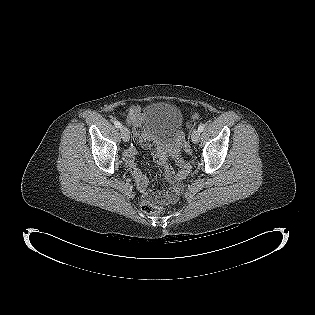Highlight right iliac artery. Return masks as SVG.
Returning a JSON list of instances; mask_svg holds the SVG:
<instances>
[{
  "instance_id": "82829eb1",
  "label": "right iliac artery",
  "mask_w": 315,
  "mask_h": 315,
  "mask_svg": "<svg viewBox=\"0 0 315 315\" xmlns=\"http://www.w3.org/2000/svg\"><path fill=\"white\" fill-rule=\"evenodd\" d=\"M114 125L117 127V128H121V123L117 120L114 121Z\"/></svg>"
}]
</instances>
